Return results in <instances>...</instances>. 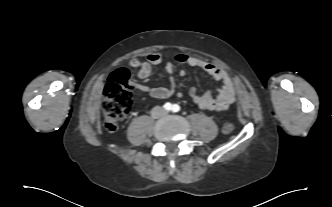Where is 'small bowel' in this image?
<instances>
[{"instance_id":"c3829d8e","label":"small bowel","mask_w":332,"mask_h":207,"mask_svg":"<svg viewBox=\"0 0 332 207\" xmlns=\"http://www.w3.org/2000/svg\"><path fill=\"white\" fill-rule=\"evenodd\" d=\"M163 57L159 53H150L146 60H140L138 58H132L129 61V65L138 69L137 77L139 79L148 78L155 66L163 63ZM174 61L180 64H186L191 67L202 70L209 78L214 79L222 84L216 95H213L211 91H206L203 94H199L195 88L189 90V95L192 100L204 110L222 112L225 111L235 100V87L231 76L228 72L220 67L189 56L184 53H179L175 56ZM174 61L167 60L165 62V71L168 77L169 85L167 87H154L150 88L146 85H137V90L146 92L150 97L154 99H166L171 97L176 90V79L174 76ZM185 70H180L179 75L184 76Z\"/></svg>"}]
</instances>
